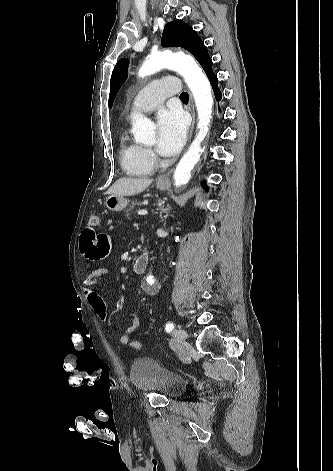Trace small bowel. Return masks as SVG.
<instances>
[{"label": "small bowel", "instance_id": "obj_1", "mask_svg": "<svg viewBox=\"0 0 333 471\" xmlns=\"http://www.w3.org/2000/svg\"><path fill=\"white\" fill-rule=\"evenodd\" d=\"M109 250L110 241L106 235L97 234L90 225L84 229L80 239V251L89 263L83 280L85 297L96 316L103 322L108 320V311L105 301L94 289V286L99 279L108 275V270L96 265L95 262L104 258ZM140 326L141 320L138 317H133L125 333L119 336V343L122 345L129 344V335L138 330Z\"/></svg>", "mask_w": 333, "mask_h": 471}]
</instances>
